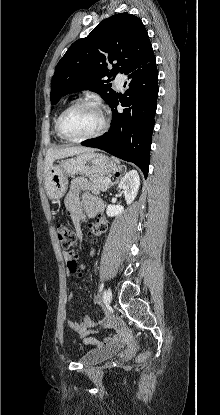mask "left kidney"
Instances as JSON below:
<instances>
[{
    "label": "left kidney",
    "instance_id": "1",
    "mask_svg": "<svg viewBox=\"0 0 220 415\" xmlns=\"http://www.w3.org/2000/svg\"><path fill=\"white\" fill-rule=\"evenodd\" d=\"M140 186V177L136 170L127 172L118 184V188L123 190L127 204H131L137 196ZM124 211L122 206L108 205L106 213L109 217L120 215Z\"/></svg>",
    "mask_w": 220,
    "mask_h": 415
}]
</instances>
